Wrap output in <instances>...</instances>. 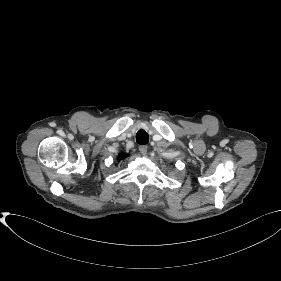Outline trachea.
Wrapping results in <instances>:
<instances>
[{
	"mask_svg": "<svg viewBox=\"0 0 281 281\" xmlns=\"http://www.w3.org/2000/svg\"><path fill=\"white\" fill-rule=\"evenodd\" d=\"M136 141L140 145H145L149 141L148 133L144 130H139L136 134Z\"/></svg>",
	"mask_w": 281,
	"mask_h": 281,
	"instance_id": "3493384b",
	"label": "trachea"
}]
</instances>
